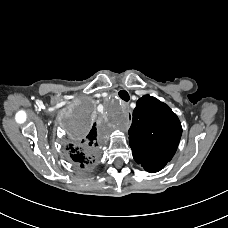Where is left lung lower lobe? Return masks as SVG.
Instances as JSON below:
<instances>
[{
	"label": "left lung lower lobe",
	"instance_id": "0a47b994",
	"mask_svg": "<svg viewBox=\"0 0 228 228\" xmlns=\"http://www.w3.org/2000/svg\"><path fill=\"white\" fill-rule=\"evenodd\" d=\"M167 164V161L164 160H154V162L151 164L150 167L144 168L148 172H158L160 171L165 165Z\"/></svg>",
	"mask_w": 228,
	"mask_h": 228
}]
</instances>
